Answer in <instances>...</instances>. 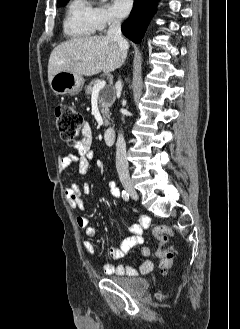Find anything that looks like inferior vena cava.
Wrapping results in <instances>:
<instances>
[{
	"label": "inferior vena cava",
	"instance_id": "1",
	"mask_svg": "<svg viewBox=\"0 0 240 329\" xmlns=\"http://www.w3.org/2000/svg\"><path fill=\"white\" fill-rule=\"evenodd\" d=\"M107 37L116 41L121 49L123 55V62L127 55V49L129 47L128 42L123 38L121 32V20L118 17L112 19V23L108 28ZM116 88L118 90L122 89L121 81L116 83ZM116 168L119 175L128 176V161L126 155V143L123 134H119L116 143Z\"/></svg>",
	"mask_w": 240,
	"mask_h": 329
}]
</instances>
